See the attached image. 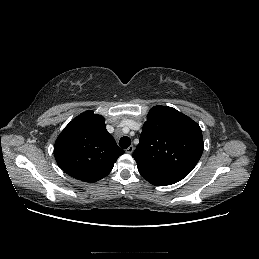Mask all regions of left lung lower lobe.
<instances>
[{
    "label": "left lung lower lobe",
    "mask_w": 259,
    "mask_h": 259,
    "mask_svg": "<svg viewBox=\"0 0 259 259\" xmlns=\"http://www.w3.org/2000/svg\"><path fill=\"white\" fill-rule=\"evenodd\" d=\"M138 170L145 180H147L149 183L155 186H165V185H171L175 183V182L166 180L162 177L155 176L154 174L149 173L148 171H144L141 169H138Z\"/></svg>",
    "instance_id": "left-lung-lower-lobe-1"
}]
</instances>
